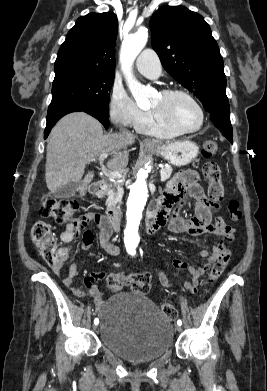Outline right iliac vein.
Returning a JSON list of instances; mask_svg holds the SVG:
<instances>
[{
    "mask_svg": "<svg viewBox=\"0 0 267 391\" xmlns=\"http://www.w3.org/2000/svg\"><path fill=\"white\" fill-rule=\"evenodd\" d=\"M93 329L96 330V329H97V325H94V326H93Z\"/></svg>",
    "mask_w": 267,
    "mask_h": 391,
    "instance_id": "right-iliac-vein-1",
    "label": "right iliac vein"
}]
</instances>
